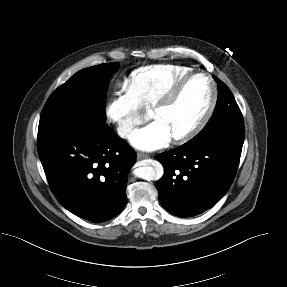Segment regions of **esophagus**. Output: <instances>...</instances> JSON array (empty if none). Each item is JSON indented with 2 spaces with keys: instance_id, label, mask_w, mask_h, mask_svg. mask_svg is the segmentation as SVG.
Here are the masks:
<instances>
[{
  "instance_id": "obj_1",
  "label": "esophagus",
  "mask_w": 287,
  "mask_h": 287,
  "mask_svg": "<svg viewBox=\"0 0 287 287\" xmlns=\"http://www.w3.org/2000/svg\"><path fill=\"white\" fill-rule=\"evenodd\" d=\"M148 157V155H146V154H143V153H137V159H144V158H147Z\"/></svg>"
}]
</instances>
